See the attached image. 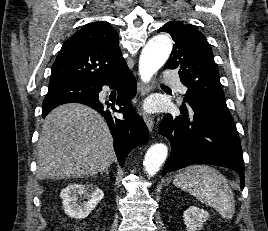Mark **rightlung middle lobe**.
<instances>
[{
  "instance_id": "obj_1",
  "label": "right lung middle lobe",
  "mask_w": 268,
  "mask_h": 231,
  "mask_svg": "<svg viewBox=\"0 0 268 231\" xmlns=\"http://www.w3.org/2000/svg\"><path fill=\"white\" fill-rule=\"evenodd\" d=\"M93 88L80 83H57L49 84L48 93L43 101H72L77 99H86L93 96Z\"/></svg>"
}]
</instances>
